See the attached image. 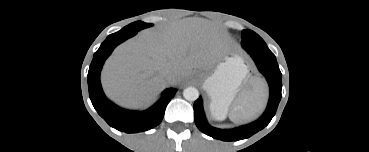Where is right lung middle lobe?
<instances>
[{"instance_id": "obj_1", "label": "right lung middle lobe", "mask_w": 369, "mask_h": 152, "mask_svg": "<svg viewBox=\"0 0 369 152\" xmlns=\"http://www.w3.org/2000/svg\"><path fill=\"white\" fill-rule=\"evenodd\" d=\"M150 26H152V24L144 23L142 21H136L134 23L129 24L128 26H125L120 31H139L141 29H144Z\"/></svg>"}]
</instances>
